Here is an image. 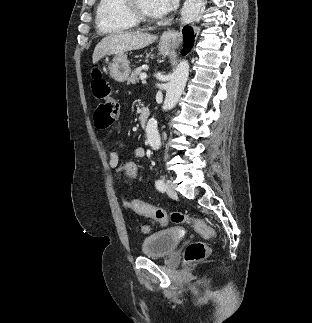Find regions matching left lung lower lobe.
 I'll return each instance as SVG.
<instances>
[{
    "instance_id": "obj_1",
    "label": "left lung lower lobe",
    "mask_w": 312,
    "mask_h": 323,
    "mask_svg": "<svg viewBox=\"0 0 312 323\" xmlns=\"http://www.w3.org/2000/svg\"><path fill=\"white\" fill-rule=\"evenodd\" d=\"M183 40L185 42L184 48L181 51L182 55H186L192 48L194 44V32L193 29L189 26L183 28Z\"/></svg>"
}]
</instances>
